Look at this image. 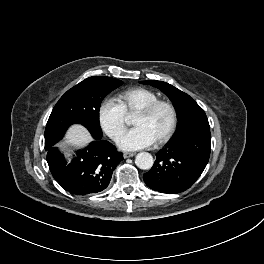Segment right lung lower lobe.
<instances>
[{"mask_svg": "<svg viewBox=\"0 0 264 264\" xmlns=\"http://www.w3.org/2000/svg\"><path fill=\"white\" fill-rule=\"evenodd\" d=\"M85 149L78 150L71 162L51 146L47 149V162L54 179L71 194L86 195L104 190L118 163L121 152L108 141L94 137Z\"/></svg>", "mask_w": 264, "mask_h": 264, "instance_id": "obj_1", "label": "right lung lower lobe"}]
</instances>
